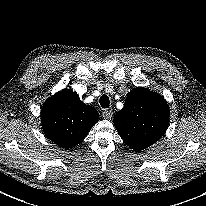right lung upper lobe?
Segmentation results:
<instances>
[{
	"instance_id": "cb5924a9",
	"label": "right lung upper lobe",
	"mask_w": 206,
	"mask_h": 206,
	"mask_svg": "<svg viewBox=\"0 0 206 206\" xmlns=\"http://www.w3.org/2000/svg\"><path fill=\"white\" fill-rule=\"evenodd\" d=\"M40 116L46 136L63 148L82 142L99 119L94 108L84 104L76 92L67 88L44 103Z\"/></svg>"
}]
</instances>
